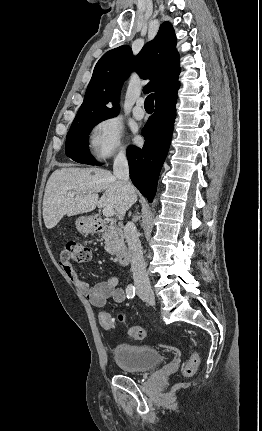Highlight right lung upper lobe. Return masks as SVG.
<instances>
[{
	"mask_svg": "<svg viewBox=\"0 0 262 431\" xmlns=\"http://www.w3.org/2000/svg\"><path fill=\"white\" fill-rule=\"evenodd\" d=\"M133 69L141 78L151 79L145 88L155 92L156 101L179 89V54L175 32L169 22L160 26L156 37L142 48L136 58L128 45L112 49L100 58L75 119L116 116L120 110L121 87Z\"/></svg>",
	"mask_w": 262,
	"mask_h": 431,
	"instance_id": "cb5924a9",
	"label": "right lung upper lobe"
}]
</instances>
